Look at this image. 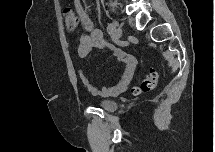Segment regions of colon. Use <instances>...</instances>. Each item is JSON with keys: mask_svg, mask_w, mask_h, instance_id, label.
<instances>
[{"mask_svg": "<svg viewBox=\"0 0 215 152\" xmlns=\"http://www.w3.org/2000/svg\"><path fill=\"white\" fill-rule=\"evenodd\" d=\"M64 23L68 30L73 31L77 28L79 23V18L76 12L70 8H66L63 11ZM158 82V73L152 70L139 85L133 86L131 92L133 94H140L152 91Z\"/></svg>", "mask_w": 215, "mask_h": 152, "instance_id": "obj_1", "label": "colon"}]
</instances>
